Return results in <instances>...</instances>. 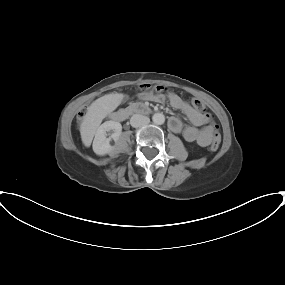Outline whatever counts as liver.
<instances>
[{
  "mask_svg": "<svg viewBox=\"0 0 285 285\" xmlns=\"http://www.w3.org/2000/svg\"><path fill=\"white\" fill-rule=\"evenodd\" d=\"M117 100V94H107L95 100L87 108L80 127L81 139L86 147L91 145L100 123L103 118L116 107Z\"/></svg>",
  "mask_w": 285,
  "mask_h": 285,
  "instance_id": "obj_1",
  "label": "liver"
}]
</instances>
